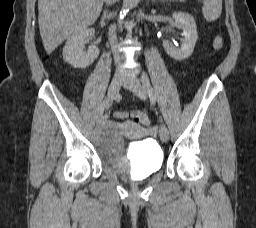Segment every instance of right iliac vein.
Instances as JSON below:
<instances>
[{"mask_svg":"<svg viewBox=\"0 0 256 228\" xmlns=\"http://www.w3.org/2000/svg\"><path fill=\"white\" fill-rule=\"evenodd\" d=\"M124 82V78L121 75H115L110 83L109 89H108V98L110 100H113L119 93V90L121 88V85ZM106 122V118L102 117L97 122V129L100 130L104 127Z\"/></svg>","mask_w":256,"mask_h":228,"instance_id":"63e3f726","label":"right iliac vein"}]
</instances>
